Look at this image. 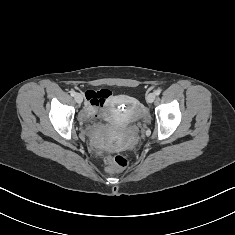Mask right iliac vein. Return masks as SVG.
<instances>
[{"label": "right iliac vein", "mask_w": 235, "mask_h": 235, "mask_svg": "<svg viewBox=\"0 0 235 235\" xmlns=\"http://www.w3.org/2000/svg\"><path fill=\"white\" fill-rule=\"evenodd\" d=\"M75 100L77 103L81 104L83 101V97L80 93L75 94Z\"/></svg>", "instance_id": "63e3f726"}]
</instances>
